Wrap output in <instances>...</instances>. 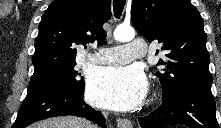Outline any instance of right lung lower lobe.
<instances>
[{"instance_id":"98d812e1","label":"right lung lower lobe","mask_w":221,"mask_h":128,"mask_svg":"<svg viewBox=\"0 0 221 128\" xmlns=\"http://www.w3.org/2000/svg\"><path fill=\"white\" fill-rule=\"evenodd\" d=\"M63 115L84 117L106 128L101 112L84 102L83 90L65 85H51L28 92L12 127L25 128L33 122Z\"/></svg>"}]
</instances>
